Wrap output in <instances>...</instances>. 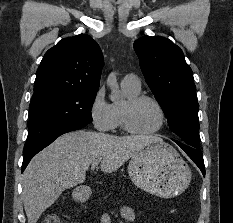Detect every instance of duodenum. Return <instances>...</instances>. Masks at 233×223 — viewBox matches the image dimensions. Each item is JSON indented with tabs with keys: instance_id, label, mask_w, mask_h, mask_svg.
Returning a JSON list of instances; mask_svg holds the SVG:
<instances>
[{
	"instance_id": "1",
	"label": "duodenum",
	"mask_w": 233,
	"mask_h": 223,
	"mask_svg": "<svg viewBox=\"0 0 233 223\" xmlns=\"http://www.w3.org/2000/svg\"><path fill=\"white\" fill-rule=\"evenodd\" d=\"M90 193L88 190L80 189L75 193V200L77 203L83 204L88 201Z\"/></svg>"
}]
</instances>
